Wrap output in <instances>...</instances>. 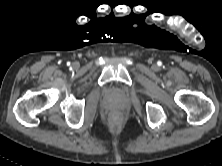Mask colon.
<instances>
[{
	"label": "colon",
	"mask_w": 222,
	"mask_h": 166,
	"mask_svg": "<svg viewBox=\"0 0 222 166\" xmlns=\"http://www.w3.org/2000/svg\"><path fill=\"white\" fill-rule=\"evenodd\" d=\"M115 121H117L118 120V117L117 116H114V118H113Z\"/></svg>",
	"instance_id": "obj_1"
}]
</instances>
